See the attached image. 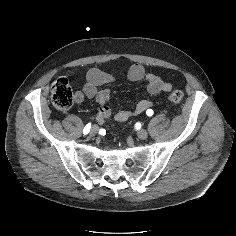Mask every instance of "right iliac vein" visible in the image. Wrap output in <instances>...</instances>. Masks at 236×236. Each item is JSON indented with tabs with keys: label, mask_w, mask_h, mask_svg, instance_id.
Returning <instances> with one entry per match:
<instances>
[{
	"label": "right iliac vein",
	"mask_w": 236,
	"mask_h": 236,
	"mask_svg": "<svg viewBox=\"0 0 236 236\" xmlns=\"http://www.w3.org/2000/svg\"><path fill=\"white\" fill-rule=\"evenodd\" d=\"M98 132V127L97 126H93L90 130V136H95Z\"/></svg>",
	"instance_id": "obj_1"
}]
</instances>
